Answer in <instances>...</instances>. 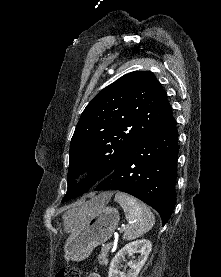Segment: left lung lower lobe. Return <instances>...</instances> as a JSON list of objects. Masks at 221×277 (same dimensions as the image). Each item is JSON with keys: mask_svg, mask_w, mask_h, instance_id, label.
Instances as JSON below:
<instances>
[{"mask_svg": "<svg viewBox=\"0 0 221 277\" xmlns=\"http://www.w3.org/2000/svg\"><path fill=\"white\" fill-rule=\"evenodd\" d=\"M178 133L171 112L125 155L95 191L119 190L153 207L163 225L175 206Z\"/></svg>", "mask_w": 221, "mask_h": 277, "instance_id": "obj_1", "label": "left lung lower lobe"}]
</instances>
